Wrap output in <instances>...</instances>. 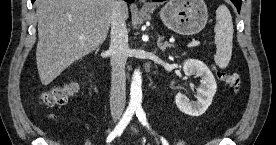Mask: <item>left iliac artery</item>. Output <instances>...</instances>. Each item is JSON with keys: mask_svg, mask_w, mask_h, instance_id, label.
Masks as SVG:
<instances>
[{"mask_svg": "<svg viewBox=\"0 0 276 145\" xmlns=\"http://www.w3.org/2000/svg\"><path fill=\"white\" fill-rule=\"evenodd\" d=\"M135 112H136V116L138 117L141 124L143 126H146L149 129V125H148L147 119H146V114H145L144 110L142 109V107L141 106L136 107ZM161 141H162L163 145H168V142L164 138H161Z\"/></svg>", "mask_w": 276, "mask_h": 145, "instance_id": "44dca946", "label": "left iliac artery"}]
</instances>
